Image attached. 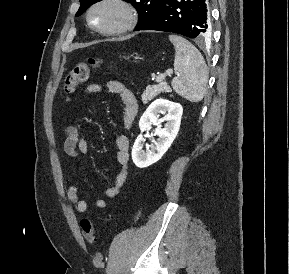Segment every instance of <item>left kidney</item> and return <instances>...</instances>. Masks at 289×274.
<instances>
[{"label": "left kidney", "mask_w": 289, "mask_h": 274, "mask_svg": "<svg viewBox=\"0 0 289 274\" xmlns=\"http://www.w3.org/2000/svg\"><path fill=\"white\" fill-rule=\"evenodd\" d=\"M166 114L159 119V114ZM183 113L179 103L165 99H157L146 109L139 121L141 134L137 137L132 148V160L139 168H145L161 159L176 138ZM162 122H166L162 128ZM152 125H157L155 135L157 141L150 148L143 150L144 138L142 133L149 130Z\"/></svg>", "instance_id": "obj_1"}]
</instances>
